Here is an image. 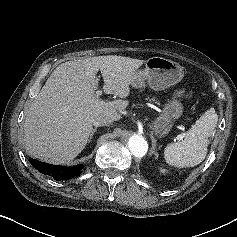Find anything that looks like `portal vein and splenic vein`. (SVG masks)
<instances>
[{
	"mask_svg": "<svg viewBox=\"0 0 237 237\" xmlns=\"http://www.w3.org/2000/svg\"><path fill=\"white\" fill-rule=\"evenodd\" d=\"M101 94H102V91H101V90H97L96 93H95V95H96L97 97L101 96ZM182 138H183V135H180L178 139L181 140Z\"/></svg>",
	"mask_w": 237,
	"mask_h": 237,
	"instance_id": "obj_1",
	"label": "portal vein and splenic vein"
}]
</instances>
